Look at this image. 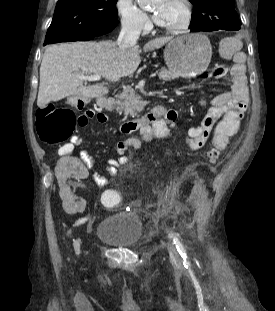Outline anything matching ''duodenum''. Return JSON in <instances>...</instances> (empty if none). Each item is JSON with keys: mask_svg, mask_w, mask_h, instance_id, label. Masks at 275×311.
<instances>
[{"mask_svg": "<svg viewBox=\"0 0 275 311\" xmlns=\"http://www.w3.org/2000/svg\"><path fill=\"white\" fill-rule=\"evenodd\" d=\"M97 100L102 106H105V107H112L113 106L112 98L103 97L102 95H100ZM154 110H164V107L163 106H157V107L153 108L151 113H153ZM149 114L145 115L144 117L123 123L121 130L124 133H130L136 129H140V128L145 127L147 125V119H149Z\"/></svg>", "mask_w": 275, "mask_h": 311, "instance_id": "obj_1", "label": "duodenum"}]
</instances>
